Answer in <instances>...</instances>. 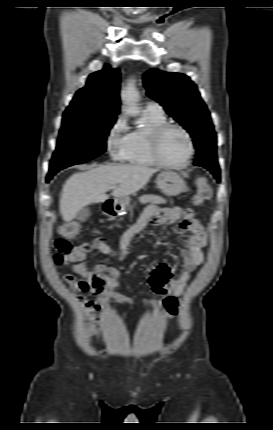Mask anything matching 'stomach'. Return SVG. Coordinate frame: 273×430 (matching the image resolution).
Listing matches in <instances>:
<instances>
[{"label":"stomach","mask_w":273,"mask_h":430,"mask_svg":"<svg viewBox=\"0 0 273 430\" xmlns=\"http://www.w3.org/2000/svg\"><path fill=\"white\" fill-rule=\"evenodd\" d=\"M158 188L167 196H177L186 191L185 181L174 171H162L156 179ZM117 212L125 211L129 206V198L122 197L114 200Z\"/></svg>","instance_id":"obj_1"}]
</instances>
